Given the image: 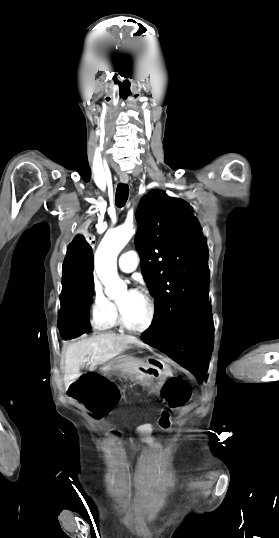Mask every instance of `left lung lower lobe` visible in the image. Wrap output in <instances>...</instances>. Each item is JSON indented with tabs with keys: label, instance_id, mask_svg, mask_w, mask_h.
I'll use <instances>...</instances> for the list:
<instances>
[{
	"label": "left lung lower lobe",
	"instance_id": "0a47b994",
	"mask_svg": "<svg viewBox=\"0 0 279 538\" xmlns=\"http://www.w3.org/2000/svg\"><path fill=\"white\" fill-rule=\"evenodd\" d=\"M153 346L192 372L201 382L205 377L213 342V319L209 299L191 307L171 330L160 335L142 334Z\"/></svg>",
	"mask_w": 279,
	"mask_h": 538
}]
</instances>
